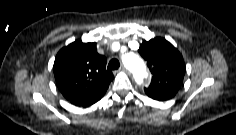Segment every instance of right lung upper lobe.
<instances>
[{
  "mask_svg": "<svg viewBox=\"0 0 236 135\" xmlns=\"http://www.w3.org/2000/svg\"><path fill=\"white\" fill-rule=\"evenodd\" d=\"M53 70L62 95L79 107L99 101L114 79L112 72L106 70V58L97 53L95 42L77 40L62 48Z\"/></svg>",
  "mask_w": 236,
  "mask_h": 135,
  "instance_id": "obj_1",
  "label": "right lung upper lobe"
}]
</instances>
